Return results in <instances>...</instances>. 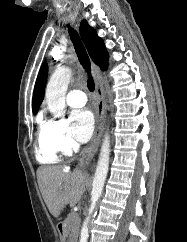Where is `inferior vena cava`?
Returning a JSON list of instances; mask_svg holds the SVG:
<instances>
[{"label": "inferior vena cava", "instance_id": "602c4592", "mask_svg": "<svg viewBox=\"0 0 187 242\" xmlns=\"http://www.w3.org/2000/svg\"><path fill=\"white\" fill-rule=\"evenodd\" d=\"M74 148H75V150L77 151L78 148H79V144H75Z\"/></svg>", "mask_w": 187, "mask_h": 242}]
</instances>
